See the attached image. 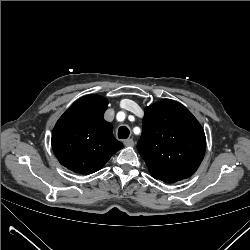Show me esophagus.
Here are the masks:
<instances>
[{
	"label": "esophagus",
	"instance_id": "obj_1",
	"mask_svg": "<svg viewBox=\"0 0 250 250\" xmlns=\"http://www.w3.org/2000/svg\"><path fill=\"white\" fill-rule=\"evenodd\" d=\"M124 145L126 147H133L134 146V141L132 139H126V140H124Z\"/></svg>",
	"mask_w": 250,
	"mask_h": 250
}]
</instances>
